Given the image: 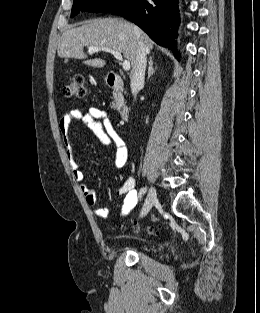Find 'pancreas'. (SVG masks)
<instances>
[{
	"label": "pancreas",
	"mask_w": 260,
	"mask_h": 313,
	"mask_svg": "<svg viewBox=\"0 0 260 313\" xmlns=\"http://www.w3.org/2000/svg\"><path fill=\"white\" fill-rule=\"evenodd\" d=\"M114 98H118V100H120V101L123 100L122 96H117V95H115ZM112 106H113V108H115V109L118 108V102H117V100L112 103Z\"/></svg>",
	"instance_id": "1"
}]
</instances>
